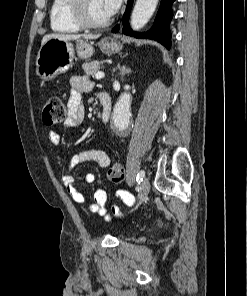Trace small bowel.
<instances>
[{"mask_svg":"<svg viewBox=\"0 0 247 296\" xmlns=\"http://www.w3.org/2000/svg\"><path fill=\"white\" fill-rule=\"evenodd\" d=\"M70 88V97L67 103L68 115L63 122V127L74 131L81 126L84 119L85 112L82 104V95L90 92L93 88V84L85 77L74 76L70 81ZM49 139L55 146L59 147L61 145V138L58 130H51L49 132ZM85 162H96L101 167H107L110 164L108 156L97 149H84L70 155L69 162L62 175V183L73 200L79 204H85L86 198L77 189L75 179L71 175V170L76 165ZM84 180L88 184H93L96 181V177L93 173H87ZM93 197L94 202L89 206L90 211L103 219H109L110 212L105 206L107 201V193L105 190L97 187ZM116 197L122 200L126 205L130 206L134 203L133 196L127 191H116ZM111 211L114 214H119V208L117 206H112Z\"/></svg>","mask_w":247,"mask_h":296,"instance_id":"small-bowel-1","label":"small bowel"}]
</instances>
